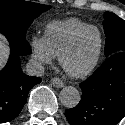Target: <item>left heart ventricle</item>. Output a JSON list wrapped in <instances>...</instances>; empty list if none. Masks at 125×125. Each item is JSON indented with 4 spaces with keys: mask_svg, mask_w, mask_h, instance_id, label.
Wrapping results in <instances>:
<instances>
[{
    "mask_svg": "<svg viewBox=\"0 0 125 125\" xmlns=\"http://www.w3.org/2000/svg\"><path fill=\"white\" fill-rule=\"evenodd\" d=\"M99 48V35L91 29L83 32L65 57V66L70 71H81L95 57Z\"/></svg>",
    "mask_w": 125,
    "mask_h": 125,
    "instance_id": "left-heart-ventricle-1",
    "label": "left heart ventricle"
}]
</instances>
